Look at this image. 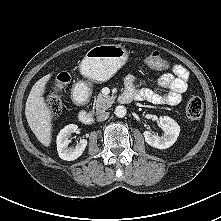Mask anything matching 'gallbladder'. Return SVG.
<instances>
[{
  "label": "gallbladder",
  "instance_id": "1",
  "mask_svg": "<svg viewBox=\"0 0 221 221\" xmlns=\"http://www.w3.org/2000/svg\"><path fill=\"white\" fill-rule=\"evenodd\" d=\"M53 92L58 94L61 92V84L59 82H55L52 86Z\"/></svg>",
  "mask_w": 221,
  "mask_h": 221
}]
</instances>
